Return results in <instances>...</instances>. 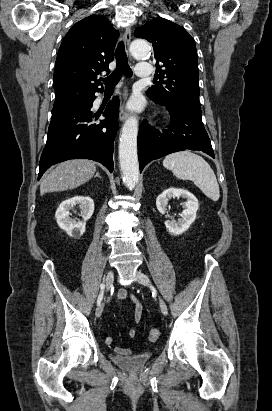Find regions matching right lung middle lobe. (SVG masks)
Returning a JSON list of instances; mask_svg holds the SVG:
<instances>
[{
    "mask_svg": "<svg viewBox=\"0 0 272 411\" xmlns=\"http://www.w3.org/2000/svg\"><path fill=\"white\" fill-rule=\"evenodd\" d=\"M89 97H85V96H82V95H78V96H75L74 98H72V99H70V100H68V101H65V102H62V103H59V104H54V107H53V109H52V113H55V112H58V111H62V110H64V109H67V108H69V107H72V106H74V105H76V104H78V103H80V102H82V101H84V100H86V99H88Z\"/></svg>",
    "mask_w": 272,
    "mask_h": 411,
    "instance_id": "1",
    "label": "right lung middle lobe"
}]
</instances>
